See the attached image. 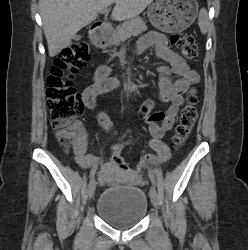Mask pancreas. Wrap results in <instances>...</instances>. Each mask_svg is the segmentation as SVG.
Listing matches in <instances>:
<instances>
[{
	"label": "pancreas",
	"instance_id": "obj_1",
	"mask_svg": "<svg viewBox=\"0 0 248 250\" xmlns=\"http://www.w3.org/2000/svg\"><path fill=\"white\" fill-rule=\"evenodd\" d=\"M146 30V22L142 18L136 17L116 27V30L112 31L111 39L113 44L119 45L121 41L131 36H138Z\"/></svg>",
	"mask_w": 248,
	"mask_h": 250
}]
</instances>
